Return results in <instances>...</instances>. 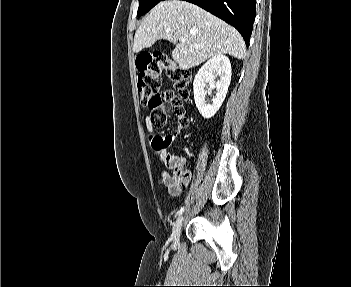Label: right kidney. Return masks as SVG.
<instances>
[{"instance_id": "1", "label": "right kidney", "mask_w": 351, "mask_h": 287, "mask_svg": "<svg viewBox=\"0 0 351 287\" xmlns=\"http://www.w3.org/2000/svg\"><path fill=\"white\" fill-rule=\"evenodd\" d=\"M231 63L223 54L211 57L197 72L194 82V100L200 114L209 119L213 117L221 107L231 81ZM219 79L216 81V77ZM208 83L209 88L206 84ZM207 88V89H206ZM216 89V95L212 104L205 101L206 94Z\"/></svg>"}]
</instances>
